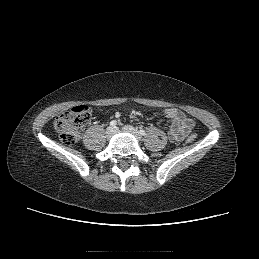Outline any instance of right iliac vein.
<instances>
[{
  "label": "right iliac vein",
  "instance_id": "obj_1",
  "mask_svg": "<svg viewBox=\"0 0 259 259\" xmlns=\"http://www.w3.org/2000/svg\"><path fill=\"white\" fill-rule=\"evenodd\" d=\"M117 132L116 127H108L106 130V137L111 138Z\"/></svg>",
  "mask_w": 259,
  "mask_h": 259
}]
</instances>
